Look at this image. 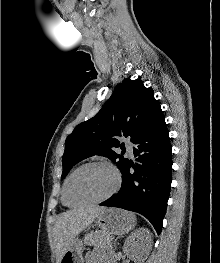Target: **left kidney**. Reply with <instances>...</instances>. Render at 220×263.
Segmentation results:
<instances>
[{"instance_id":"1","label":"left kidney","mask_w":220,"mask_h":263,"mask_svg":"<svg viewBox=\"0 0 220 263\" xmlns=\"http://www.w3.org/2000/svg\"><path fill=\"white\" fill-rule=\"evenodd\" d=\"M152 244L150 231L147 228H139L126 239L123 252L135 263H143L152 248Z\"/></svg>"}]
</instances>
